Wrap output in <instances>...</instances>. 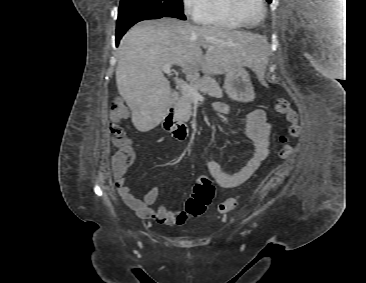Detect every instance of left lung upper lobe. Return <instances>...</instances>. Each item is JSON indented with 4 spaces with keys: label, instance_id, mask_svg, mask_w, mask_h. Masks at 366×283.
Returning <instances> with one entry per match:
<instances>
[{
    "label": "left lung upper lobe",
    "instance_id": "5c2ea615",
    "mask_svg": "<svg viewBox=\"0 0 366 283\" xmlns=\"http://www.w3.org/2000/svg\"><path fill=\"white\" fill-rule=\"evenodd\" d=\"M268 3H271L272 2V0H266Z\"/></svg>",
    "mask_w": 366,
    "mask_h": 283
}]
</instances>
